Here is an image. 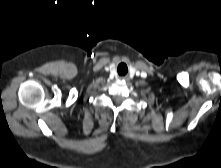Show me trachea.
<instances>
[{
  "mask_svg": "<svg viewBox=\"0 0 221 168\" xmlns=\"http://www.w3.org/2000/svg\"><path fill=\"white\" fill-rule=\"evenodd\" d=\"M117 70H118L119 75H125L128 71L126 65L124 64H120Z\"/></svg>",
  "mask_w": 221,
  "mask_h": 168,
  "instance_id": "1",
  "label": "trachea"
}]
</instances>
